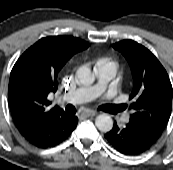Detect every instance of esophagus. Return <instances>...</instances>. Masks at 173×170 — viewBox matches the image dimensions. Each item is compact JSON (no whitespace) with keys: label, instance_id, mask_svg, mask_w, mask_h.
I'll return each mask as SVG.
<instances>
[{"label":"esophagus","instance_id":"obj_1","mask_svg":"<svg viewBox=\"0 0 173 170\" xmlns=\"http://www.w3.org/2000/svg\"><path fill=\"white\" fill-rule=\"evenodd\" d=\"M85 116H88V117H93V116H96L97 115V112L94 111V110H87L83 113Z\"/></svg>","mask_w":173,"mask_h":170}]
</instances>
